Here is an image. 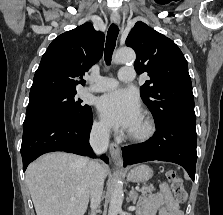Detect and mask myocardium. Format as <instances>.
Instances as JSON below:
<instances>
[{
    "instance_id": "obj_1",
    "label": "myocardium",
    "mask_w": 223,
    "mask_h": 215,
    "mask_svg": "<svg viewBox=\"0 0 223 215\" xmlns=\"http://www.w3.org/2000/svg\"><path fill=\"white\" fill-rule=\"evenodd\" d=\"M140 119L142 122V129L139 131L130 130L128 131L126 136L120 137V140H127L130 142H136V143H144L149 141L155 131V123L153 120L145 113L140 114Z\"/></svg>"
}]
</instances>
